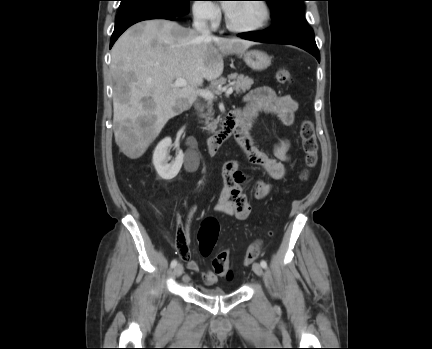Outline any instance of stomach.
<instances>
[{
    "mask_svg": "<svg viewBox=\"0 0 432 349\" xmlns=\"http://www.w3.org/2000/svg\"><path fill=\"white\" fill-rule=\"evenodd\" d=\"M245 63L252 69L262 71L271 65V58L263 51L251 50L243 54Z\"/></svg>",
    "mask_w": 432,
    "mask_h": 349,
    "instance_id": "0dacf381",
    "label": "stomach"
}]
</instances>
